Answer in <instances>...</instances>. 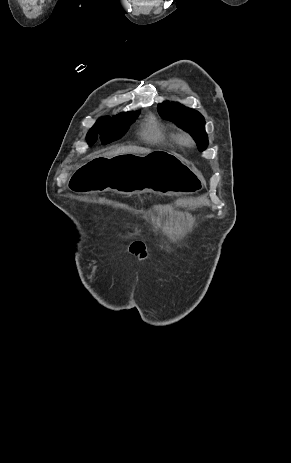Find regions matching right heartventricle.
<instances>
[{
  "label": "right heart ventricle",
  "mask_w": 291,
  "mask_h": 463,
  "mask_svg": "<svg viewBox=\"0 0 291 463\" xmlns=\"http://www.w3.org/2000/svg\"><path fill=\"white\" fill-rule=\"evenodd\" d=\"M141 135L147 141L156 143L177 140L174 133L168 131L160 122L152 117L144 124Z\"/></svg>",
  "instance_id": "right-heart-ventricle-1"
}]
</instances>
